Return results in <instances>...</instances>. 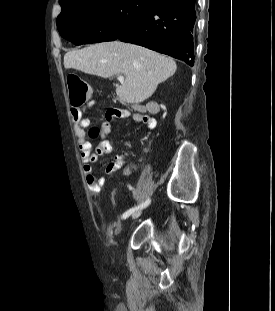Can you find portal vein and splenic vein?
I'll return each mask as SVG.
<instances>
[{"instance_id":"portal-vein-and-splenic-vein-1","label":"portal vein and splenic vein","mask_w":275,"mask_h":311,"mask_svg":"<svg viewBox=\"0 0 275 311\" xmlns=\"http://www.w3.org/2000/svg\"><path fill=\"white\" fill-rule=\"evenodd\" d=\"M117 79H118V81L123 82L124 81V76L123 75H118Z\"/></svg>"}]
</instances>
